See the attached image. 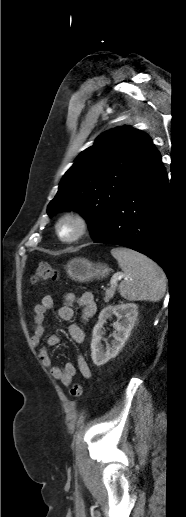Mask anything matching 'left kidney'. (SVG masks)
<instances>
[{"label":"left kidney","instance_id":"obj_1","mask_svg":"<svg viewBox=\"0 0 186 517\" xmlns=\"http://www.w3.org/2000/svg\"><path fill=\"white\" fill-rule=\"evenodd\" d=\"M115 315L118 320L113 325L115 332L113 333L114 340L111 345H107L104 349L101 340L105 331L103 325L108 318ZM138 316V306L134 303H126L115 306H107L99 314L98 322L93 328L91 341V357L96 366H101L107 363L111 358L118 355L119 351L124 347L125 342L130 336L131 330L134 327Z\"/></svg>","mask_w":186,"mask_h":517}]
</instances>
